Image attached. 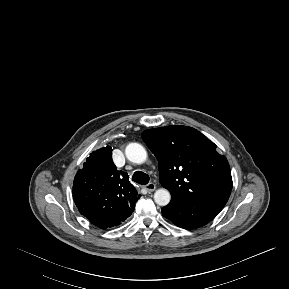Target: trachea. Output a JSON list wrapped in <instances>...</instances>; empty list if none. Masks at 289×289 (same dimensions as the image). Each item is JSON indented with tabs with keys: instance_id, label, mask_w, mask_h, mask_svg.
Returning <instances> with one entry per match:
<instances>
[{
	"instance_id": "1",
	"label": "trachea",
	"mask_w": 289,
	"mask_h": 289,
	"mask_svg": "<svg viewBox=\"0 0 289 289\" xmlns=\"http://www.w3.org/2000/svg\"><path fill=\"white\" fill-rule=\"evenodd\" d=\"M132 180L138 184L146 185L149 182V176L142 171H136L132 176Z\"/></svg>"
}]
</instances>
